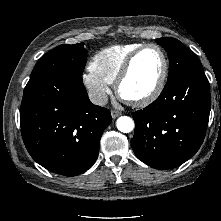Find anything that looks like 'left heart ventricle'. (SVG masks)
Instances as JSON below:
<instances>
[{
    "instance_id": "1",
    "label": "left heart ventricle",
    "mask_w": 221,
    "mask_h": 221,
    "mask_svg": "<svg viewBox=\"0 0 221 221\" xmlns=\"http://www.w3.org/2000/svg\"><path fill=\"white\" fill-rule=\"evenodd\" d=\"M162 71V57L155 48H147L136 58L121 91L126 98L138 99L156 86Z\"/></svg>"
}]
</instances>
